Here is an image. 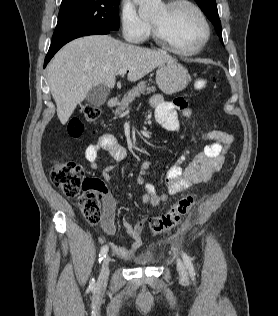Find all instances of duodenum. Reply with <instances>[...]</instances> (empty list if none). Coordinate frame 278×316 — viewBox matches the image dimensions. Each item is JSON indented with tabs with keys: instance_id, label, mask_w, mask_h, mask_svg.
<instances>
[{
	"instance_id": "410a0bca",
	"label": "duodenum",
	"mask_w": 278,
	"mask_h": 316,
	"mask_svg": "<svg viewBox=\"0 0 278 316\" xmlns=\"http://www.w3.org/2000/svg\"><path fill=\"white\" fill-rule=\"evenodd\" d=\"M117 103H118V97H116V96L110 97V98L108 99V101H107V105H108L109 107H113V106H115Z\"/></svg>"
}]
</instances>
